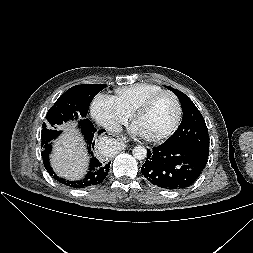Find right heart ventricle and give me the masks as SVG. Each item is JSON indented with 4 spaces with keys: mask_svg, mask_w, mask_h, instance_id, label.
<instances>
[{
    "mask_svg": "<svg viewBox=\"0 0 253 253\" xmlns=\"http://www.w3.org/2000/svg\"><path fill=\"white\" fill-rule=\"evenodd\" d=\"M161 90L163 89L156 84L138 83L116 89L112 98L118 108L127 117H131L145 99Z\"/></svg>",
    "mask_w": 253,
    "mask_h": 253,
    "instance_id": "right-heart-ventricle-1",
    "label": "right heart ventricle"
}]
</instances>
